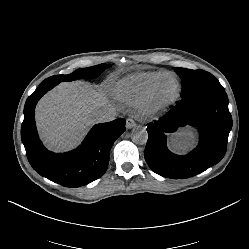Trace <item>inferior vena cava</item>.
Wrapping results in <instances>:
<instances>
[{"instance_id": "1", "label": "inferior vena cava", "mask_w": 249, "mask_h": 249, "mask_svg": "<svg viewBox=\"0 0 249 249\" xmlns=\"http://www.w3.org/2000/svg\"><path fill=\"white\" fill-rule=\"evenodd\" d=\"M117 117L116 109L112 106L104 107L95 113L96 121L99 123L110 122Z\"/></svg>"}]
</instances>
